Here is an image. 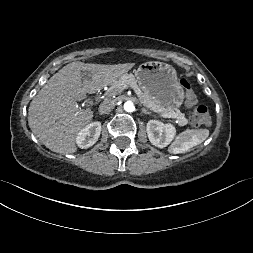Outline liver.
I'll list each match as a JSON object with an SVG mask.
<instances>
[{"mask_svg":"<svg viewBox=\"0 0 253 253\" xmlns=\"http://www.w3.org/2000/svg\"><path fill=\"white\" fill-rule=\"evenodd\" d=\"M131 64L105 65L72 62L54 74L33 98L28 124L50 150L75 153L78 133L91 122L93 111L77 101L115 83Z\"/></svg>","mask_w":253,"mask_h":253,"instance_id":"6515ba94","label":"liver"}]
</instances>
